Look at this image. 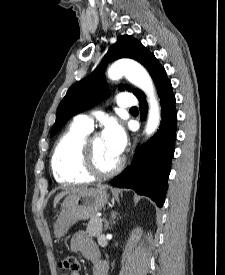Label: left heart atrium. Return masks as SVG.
Masks as SVG:
<instances>
[{
    "instance_id": "39dd6f15",
    "label": "left heart atrium",
    "mask_w": 225,
    "mask_h": 275,
    "mask_svg": "<svg viewBox=\"0 0 225 275\" xmlns=\"http://www.w3.org/2000/svg\"><path fill=\"white\" fill-rule=\"evenodd\" d=\"M101 138L108 151L119 158L126 146V134L122 126L115 121L108 122L105 125Z\"/></svg>"
}]
</instances>
